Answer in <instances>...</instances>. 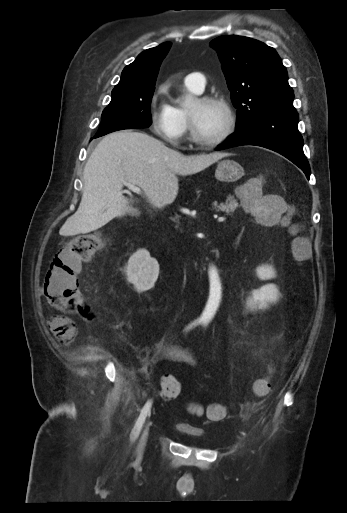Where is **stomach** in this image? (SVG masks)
Returning a JSON list of instances; mask_svg holds the SVG:
<instances>
[{"label": "stomach", "mask_w": 347, "mask_h": 513, "mask_svg": "<svg viewBox=\"0 0 347 513\" xmlns=\"http://www.w3.org/2000/svg\"><path fill=\"white\" fill-rule=\"evenodd\" d=\"M243 175V167L238 162L231 159L219 162L215 170V178L222 182H235Z\"/></svg>", "instance_id": "1"}]
</instances>
